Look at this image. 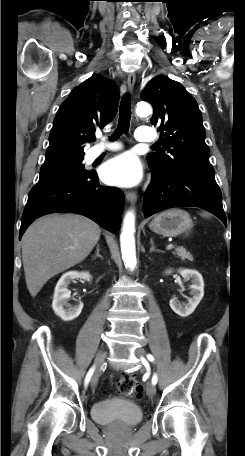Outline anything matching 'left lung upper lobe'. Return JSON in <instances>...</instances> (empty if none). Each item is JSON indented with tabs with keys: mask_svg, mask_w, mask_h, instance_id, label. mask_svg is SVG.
<instances>
[{
	"mask_svg": "<svg viewBox=\"0 0 245 456\" xmlns=\"http://www.w3.org/2000/svg\"><path fill=\"white\" fill-rule=\"evenodd\" d=\"M141 98L153 106L151 123L159 126L163 149L147 155L148 164L167 172L214 176L205 143L202 115L195 99L178 82L156 76L146 85Z\"/></svg>",
	"mask_w": 245,
	"mask_h": 456,
	"instance_id": "obj_1",
	"label": "left lung upper lobe"
}]
</instances>
